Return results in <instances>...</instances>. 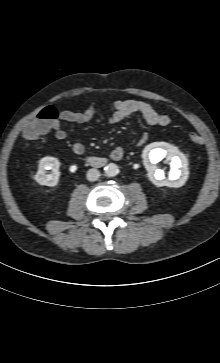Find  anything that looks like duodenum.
Segmentation results:
<instances>
[{"label": "duodenum", "mask_w": 220, "mask_h": 363, "mask_svg": "<svg viewBox=\"0 0 220 363\" xmlns=\"http://www.w3.org/2000/svg\"><path fill=\"white\" fill-rule=\"evenodd\" d=\"M122 156H123V154H118L112 158L114 160H119L122 158ZM86 160L95 167H102L106 164V160L99 156H88V157H86Z\"/></svg>", "instance_id": "obj_1"}]
</instances>
